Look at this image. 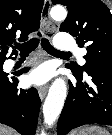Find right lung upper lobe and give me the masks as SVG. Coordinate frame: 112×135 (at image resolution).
<instances>
[{"label": "right lung upper lobe", "mask_w": 112, "mask_h": 135, "mask_svg": "<svg viewBox=\"0 0 112 135\" xmlns=\"http://www.w3.org/2000/svg\"><path fill=\"white\" fill-rule=\"evenodd\" d=\"M44 0H0V62H4L8 47L28 39L40 27Z\"/></svg>", "instance_id": "1"}]
</instances>
